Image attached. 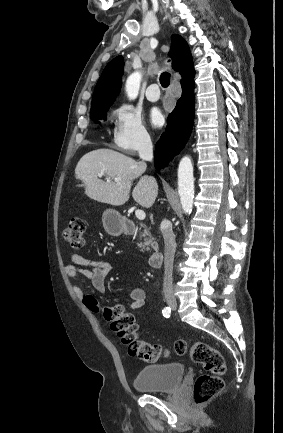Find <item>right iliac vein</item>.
<instances>
[{
  "mask_svg": "<svg viewBox=\"0 0 283 433\" xmlns=\"http://www.w3.org/2000/svg\"><path fill=\"white\" fill-rule=\"evenodd\" d=\"M166 302L172 310H176L178 307L177 301L173 296H167Z\"/></svg>",
  "mask_w": 283,
  "mask_h": 433,
  "instance_id": "63e3f726",
  "label": "right iliac vein"
}]
</instances>
